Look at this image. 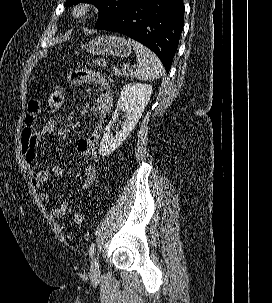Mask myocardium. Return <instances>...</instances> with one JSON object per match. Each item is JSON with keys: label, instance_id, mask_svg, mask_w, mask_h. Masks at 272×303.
Wrapping results in <instances>:
<instances>
[{"label": "myocardium", "instance_id": "f54148a6", "mask_svg": "<svg viewBox=\"0 0 272 303\" xmlns=\"http://www.w3.org/2000/svg\"><path fill=\"white\" fill-rule=\"evenodd\" d=\"M95 9V5L90 2L78 3L72 9V17L76 20L87 18L95 12Z\"/></svg>", "mask_w": 272, "mask_h": 303}]
</instances>
